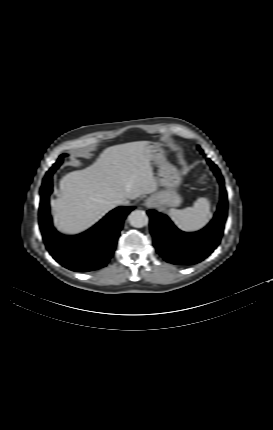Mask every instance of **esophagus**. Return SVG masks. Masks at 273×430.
<instances>
[{
  "mask_svg": "<svg viewBox=\"0 0 273 430\" xmlns=\"http://www.w3.org/2000/svg\"><path fill=\"white\" fill-rule=\"evenodd\" d=\"M144 205L146 206V207H148V208H151V207H153L154 205H155V200L153 199V198H147L146 200H145V203H144Z\"/></svg>",
  "mask_w": 273,
  "mask_h": 430,
  "instance_id": "obj_1",
  "label": "esophagus"
}]
</instances>
